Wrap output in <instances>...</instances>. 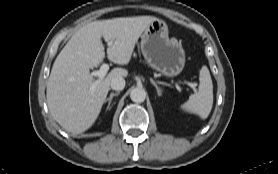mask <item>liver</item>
I'll list each match as a JSON object with an SVG mask.
<instances>
[{
  "mask_svg": "<svg viewBox=\"0 0 278 174\" xmlns=\"http://www.w3.org/2000/svg\"><path fill=\"white\" fill-rule=\"evenodd\" d=\"M157 19L136 16L93 21L73 34L55 59L47 81L49 111L60 126L74 134L88 130L101 111L111 80L128 75L126 69L119 67L101 80L90 74V69L105 58L101 37L107 43V58L126 65L139 37Z\"/></svg>",
  "mask_w": 278,
  "mask_h": 174,
  "instance_id": "liver-1",
  "label": "liver"
}]
</instances>
